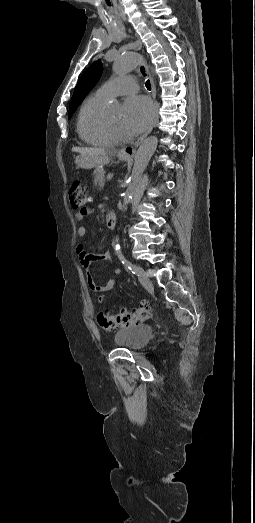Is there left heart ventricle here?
Instances as JSON below:
<instances>
[{"label":"left heart ventricle","mask_w":255,"mask_h":523,"mask_svg":"<svg viewBox=\"0 0 255 523\" xmlns=\"http://www.w3.org/2000/svg\"><path fill=\"white\" fill-rule=\"evenodd\" d=\"M109 117L117 124L118 128L124 135H126L128 133V130L124 124V120H123V116H122L121 112L109 115Z\"/></svg>","instance_id":"left-heart-ventricle-1"}]
</instances>
